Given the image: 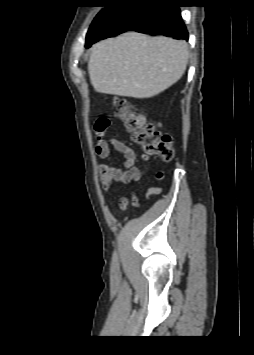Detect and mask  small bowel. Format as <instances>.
Returning a JSON list of instances; mask_svg holds the SVG:
<instances>
[{"mask_svg":"<svg viewBox=\"0 0 254 355\" xmlns=\"http://www.w3.org/2000/svg\"><path fill=\"white\" fill-rule=\"evenodd\" d=\"M106 119V118H102ZM108 126L104 130L95 128L96 132V154L100 160L98 164L99 181L104 193H107L115 183L127 184L130 182H137L141 177V172L135 166L136 154L132 148L117 138L107 139L105 137V130L109 127L110 122L108 119ZM110 146L116 151L121 153L124 157V169L116 168L104 163V160L110 159ZM143 160L147 161L148 157L143 156ZM164 172L159 171L155 174L154 179L161 181L164 179ZM160 191L158 187H151L148 189L147 194L152 195ZM136 202L134 193L131 197L123 196L119 201V207L125 210L129 207L130 203Z\"/></svg>","mask_w":254,"mask_h":355,"instance_id":"obj_1","label":"small bowel"}]
</instances>
